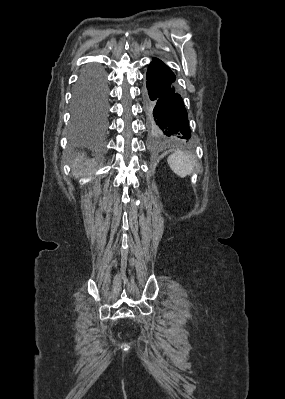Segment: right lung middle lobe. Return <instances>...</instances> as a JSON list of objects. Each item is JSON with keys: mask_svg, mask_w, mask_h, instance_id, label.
Masks as SVG:
<instances>
[{"mask_svg": "<svg viewBox=\"0 0 285 399\" xmlns=\"http://www.w3.org/2000/svg\"><path fill=\"white\" fill-rule=\"evenodd\" d=\"M107 110L105 75L99 66L86 68L80 75L73 95V120L82 124L92 118L102 117Z\"/></svg>", "mask_w": 285, "mask_h": 399, "instance_id": "1", "label": "right lung middle lobe"}]
</instances>
